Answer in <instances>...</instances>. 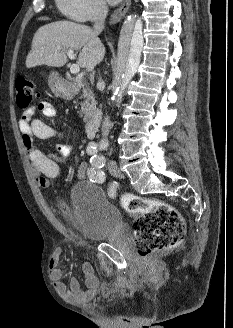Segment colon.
Returning a JSON list of instances; mask_svg holds the SVG:
<instances>
[{
    "label": "colon",
    "mask_w": 233,
    "mask_h": 328,
    "mask_svg": "<svg viewBox=\"0 0 233 328\" xmlns=\"http://www.w3.org/2000/svg\"><path fill=\"white\" fill-rule=\"evenodd\" d=\"M15 90L18 107L28 108L36 96L33 82L25 76H18ZM122 206L136 217L134 241L140 257L146 258L156 251L176 246L182 240L185 223L172 206L133 195H125Z\"/></svg>",
    "instance_id": "colon-1"
}]
</instances>
